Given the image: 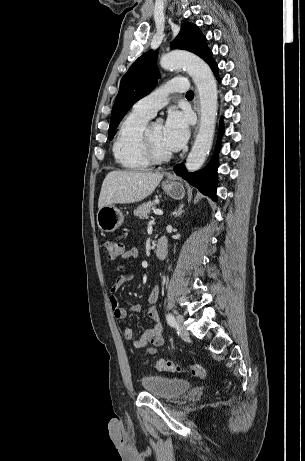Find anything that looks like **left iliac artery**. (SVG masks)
Instances as JSON below:
<instances>
[{"instance_id": "44dca946", "label": "left iliac artery", "mask_w": 305, "mask_h": 461, "mask_svg": "<svg viewBox=\"0 0 305 461\" xmlns=\"http://www.w3.org/2000/svg\"><path fill=\"white\" fill-rule=\"evenodd\" d=\"M166 319H167L168 324L171 327H177L178 326V324H177V322H176V320H175V318H174V316L172 314L168 313L167 316H166Z\"/></svg>"}]
</instances>
